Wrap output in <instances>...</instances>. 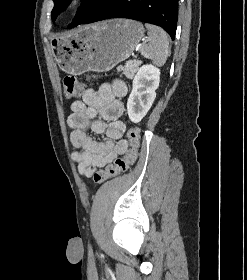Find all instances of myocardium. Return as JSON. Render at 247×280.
<instances>
[{
  "label": "myocardium",
  "mask_w": 247,
  "mask_h": 280,
  "mask_svg": "<svg viewBox=\"0 0 247 280\" xmlns=\"http://www.w3.org/2000/svg\"><path fill=\"white\" fill-rule=\"evenodd\" d=\"M80 3H81V0H71L69 3V7L70 8L75 7V6L79 5Z\"/></svg>",
  "instance_id": "obj_1"
}]
</instances>
